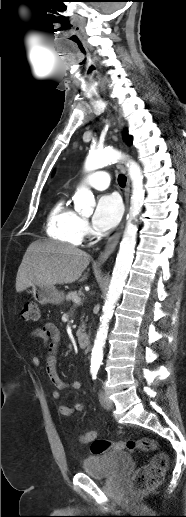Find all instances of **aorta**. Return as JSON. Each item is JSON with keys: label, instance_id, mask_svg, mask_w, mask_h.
<instances>
[{"label": "aorta", "instance_id": "762f6f07", "mask_svg": "<svg viewBox=\"0 0 186 517\" xmlns=\"http://www.w3.org/2000/svg\"><path fill=\"white\" fill-rule=\"evenodd\" d=\"M122 158H124V155L113 148L93 150L89 152L84 168L85 171H93L104 167L107 164L117 162ZM127 167L128 174L132 182L130 208L113 269L108 294L103 307V314L100 317V326L92 349L90 366L92 371H97L103 360V347L107 338L109 322L112 318L115 305L120 298L133 262L138 231L135 222L137 221V217L141 212L144 202L145 190L141 168L133 160H128ZM94 205L95 199L92 192L87 187H80L74 195L75 209L85 213L92 210Z\"/></svg>", "mask_w": 186, "mask_h": 517}]
</instances>
